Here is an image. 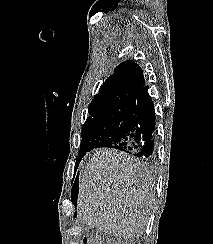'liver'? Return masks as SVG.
I'll return each instance as SVG.
<instances>
[{
    "mask_svg": "<svg viewBox=\"0 0 213 244\" xmlns=\"http://www.w3.org/2000/svg\"><path fill=\"white\" fill-rule=\"evenodd\" d=\"M155 202L153 176L126 153L99 149L80 172L77 210L89 228L140 236Z\"/></svg>",
    "mask_w": 213,
    "mask_h": 244,
    "instance_id": "1",
    "label": "liver"
}]
</instances>
